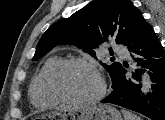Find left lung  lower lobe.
Returning a JSON list of instances; mask_svg holds the SVG:
<instances>
[{"mask_svg": "<svg viewBox=\"0 0 165 120\" xmlns=\"http://www.w3.org/2000/svg\"><path fill=\"white\" fill-rule=\"evenodd\" d=\"M136 66L149 69L153 84L147 96L140 95L142 69L127 72L124 62L114 90L101 102L139 112L151 120H165V52L152 26L144 19L126 44Z\"/></svg>", "mask_w": 165, "mask_h": 120, "instance_id": "0a47b994", "label": "left lung lower lobe"}]
</instances>
